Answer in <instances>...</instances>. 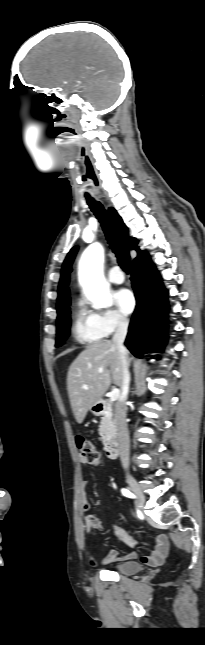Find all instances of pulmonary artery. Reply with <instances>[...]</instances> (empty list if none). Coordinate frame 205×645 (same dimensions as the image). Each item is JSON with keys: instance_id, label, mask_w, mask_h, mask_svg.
<instances>
[{"instance_id": "1", "label": "pulmonary artery", "mask_w": 205, "mask_h": 645, "mask_svg": "<svg viewBox=\"0 0 205 645\" xmlns=\"http://www.w3.org/2000/svg\"><path fill=\"white\" fill-rule=\"evenodd\" d=\"M108 276H109L110 281H111V282H113V283H115V284H121V283H123V282H124V279H125V278H124V275H123V273H122V271H121V270H120V268H119V267H117V266H116V267H113V268L109 271Z\"/></svg>"}]
</instances>
